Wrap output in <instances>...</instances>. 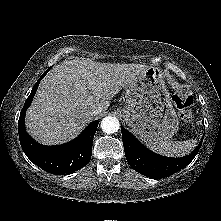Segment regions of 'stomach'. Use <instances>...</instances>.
<instances>
[{
    "label": "stomach",
    "instance_id": "stomach-1",
    "mask_svg": "<svg viewBox=\"0 0 221 221\" xmlns=\"http://www.w3.org/2000/svg\"><path fill=\"white\" fill-rule=\"evenodd\" d=\"M125 99L123 118L143 141H168L177 133L179 120L160 68L148 67L132 81L125 89Z\"/></svg>",
    "mask_w": 221,
    "mask_h": 221
}]
</instances>
